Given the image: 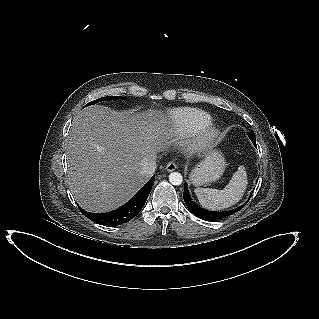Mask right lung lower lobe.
<instances>
[{
    "instance_id": "98d812e1",
    "label": "right lung lower lobe",
    "mask_w": 319,
    "mask_h": 319,
    "mask_svg": "<svg viewBox=\"0 0 319 319\" xmlns=\"http://www.w3.org/2000/svg\"><path fill=\"white\" fill-rule=\"evenodd\" d=\"M154 180L155 177L153 176L129 202L114 211L96 214L86 212L80 207L79 208L87 218L102 225L116 226L126 223L133 219L143 208L150 194Z\"/></svg>"
}]
</instances>
